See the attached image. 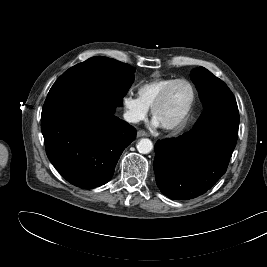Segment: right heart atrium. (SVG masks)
<instances>
[{"label": "right heart atrium", "instance_id": "d8ad5b80", "mask_svg": "<svg viewBox=\"0 0 267 267\" xmlns=\"http://www.w3.org/2000/svg\"><path fill=\"white\" fill-rule=\"evenodd\" d=\"M126 119L131 123H136L145 118L148 113V106L141 100L138 95L132 92L123 97Z\"/></svg>", "mask_w": 267, "mask_h": 267}]
</instances>
